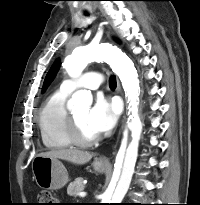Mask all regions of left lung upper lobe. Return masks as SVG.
<instances>
[{
    "instance_id": "1",
    "label": "left lung upper lobe",
    "mask_w": 200,
    "mask_h": 205,
    "mask_svg": "<svg viewBox=\"0 0 200 205\" xmlns=\"http://www.w3.org/2000/svg\"><path fill=\"white\" fill-rule=\"evenodd\" d=\"M60 68V61L56 60L49 72L47 73L44 83H43V88L42 91H45V89L48 87V85L52 82V80L55 78L58 70Z\"/></svg>"
}]
</instances>
